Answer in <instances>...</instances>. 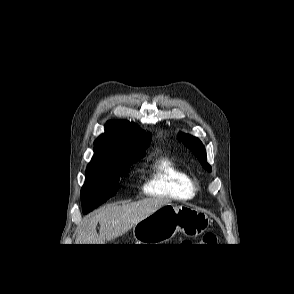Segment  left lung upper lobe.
I'll return each instance as SVG.
<instances>
[{"mask_svg": "<svg viewBox=\"0 0 294 294\" xmlns=\"http://www.w3.org/2000/svg\"><path fill=\"white\" fill-rule=\"evenodd\" d=\"M179 141L191 149L195 156L198 158L203 168L211 172V166L206 162V151L203 143L197 138L187 134H182L179 137Z\"/></svg>", "mask_w": 294, "mask_h": 294, "instance_id": "1", "label": "left lung upper lobe"}]
</instances>
